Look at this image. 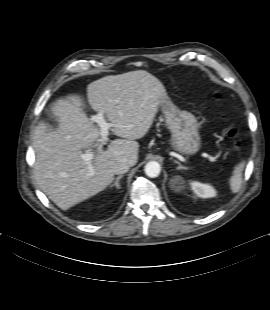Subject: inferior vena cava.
Listing matches in <instances>:
<instances>
[{"mask_svg": "<svg viewBox=\"0 0 270 310\" xmlns=\"http://www.w3.org/2000/svg\"><path fill=\"white\" fill-rule=\"evenodd\" d=\"M130 164L127 160H120L113 166V172L115 174H124L128 172Z\"/></svg>", "mask_w": 270, "mask_h": 310, "instance_id": "inferior-vena-cava-1", "label": "inferior vena cava"}]
</instances>
